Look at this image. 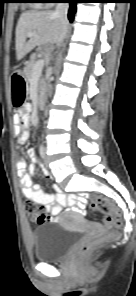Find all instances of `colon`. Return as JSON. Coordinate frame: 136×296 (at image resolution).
<instances>
[{"mask_svg": "<svg viewBox=\"0 0 136 296\" xmlns=\"http://www.w3.org/2000/svg\"><path fill=\"white\" fill-rule=\"evenodd\" d=\"M15 74H19V72H16ZM84 199L86 200V198ZM87 200L89 201V204L92 208L104 214L105 224L107 226L118 227L121 225V211L114 205V203L110 199L103 196H93L88 197ZM24 208L26 212L37 221V223L42 224L47 222V216L42 212V205L33 201H27L24 205ZM101 240V236H88L78 248V252L80 254L90 253L100 243Z\"/></svg>", "mask_w": 136, "mask_h": 296, "instance_id": "obj_1", "label": "colon"}]
</instances>
